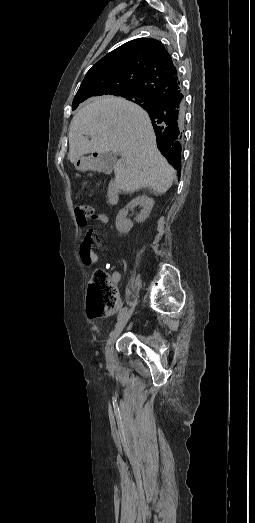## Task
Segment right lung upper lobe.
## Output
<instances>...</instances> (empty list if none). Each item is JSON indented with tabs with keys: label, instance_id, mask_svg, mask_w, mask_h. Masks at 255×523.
I'll use <instances>...</instances> for the list:
<instances>
[{
	"label": "right lung upper lobe",
	"instance_id": "right-lung-upper-lobe-1",
	"mask_svg": "<svg viewBox=\"0 0 255 523\" xmlns=\"http://www.w3.org/2000/svg\"><path fill=\"white\" fill-rule=\"evenodd\" d=\"M180 87L177 69L164 45L155 39L140 38L108 53L87 72L72 107L127 91H142L153 99L154 104L149 109L141 102L137 104L147 111L155 132L151 110L163 102L176 100L181 105L177 112L180 135L172 139H178L182 144L184 101ZM157 146L168 162L179 170L182 149L174 155H167L164 146L160 143Z\"/></svg>",
	"mask_w": 255,
	"mask_h": 523
}]
</instances>
